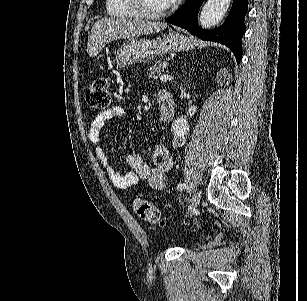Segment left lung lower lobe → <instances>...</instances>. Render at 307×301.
Returning a JSON list of instances; mask_svg holds the SVG:
<instances>
[{
	"instance_id": "0a47b994",
	"label": "left lung lower lobe",
	"mask_w": 307,
	"mask_h": 301,
	"mask_svg": "<svg viewBox=\"0 0 307 301\" xmlns=\"http://www.w3.org/2000/svg\"><path fill=\"white\" fill-rule=\"evenodd\" d=\"M204 0H186V2L169 18L171 23L188 30L202 40L219 42L232 50L237 62L242 57L241 37L245 33L244 18L247 13L248 0H233L231 11L224 24L208 31L198 25L197 15Z\"/></svg>"
}]
</instances>
